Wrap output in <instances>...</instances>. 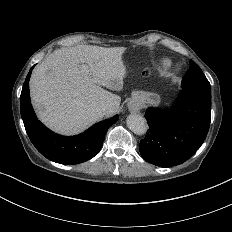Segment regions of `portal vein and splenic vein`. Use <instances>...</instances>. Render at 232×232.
<instances>
[{
    "label": "portal vein and splenic vein",
    "mask_w": 232,
    "mask_h": 232,
    "mask_svg": "<svg viewBox=\"0 0 232 232\" xmlns=\"http://www.w3.org/2000/svg\"><path fill=\"white\" fill-rule=\"evenodd\" d=\"M81 69L84 70V71H87L88 70V66L86 64H82L81 65Z\"/></svg>",
    "instance_id": "obj_1"
}]
</instances>
